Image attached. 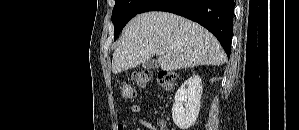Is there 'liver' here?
I'll use <instances>...</instances> for the list:
<instances>
[{
	"label": "liver",
	"instance_id": "1",
	"mask_svg": "<svg viewBox=\"0 0 299 130\" xmlns=\"http://www.w3.org/2000/svg\"><path fill=\"white\" fill-rule=\"evenodd\" d=\"M164 71L198 65H222L226 55L218 40L199 24L168 12L135 16L124 28L113 53L112 71L118 74L157 54Z\"/></svg>",
	"mask_w": 299,
	"mask_h": 130
}]
</instances>
